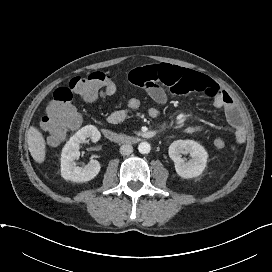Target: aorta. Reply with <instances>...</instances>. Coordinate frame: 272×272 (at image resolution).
<instances>
[{"mask_svg": "<svg viewBox=\"0 0 272 272\" xmlns=\"http://www.w3.org/2000/svg\"><path fill=\"white\" fill-rule=\"evenodd\" d=\"M151 150V146L148 142H141L139 145H138V151L141 153V154H148Z\"/></svg>", "mask_w": 272, "mask_h": 272, "instance_id": "aorta-1", "label": "aorta"}]
</instances>
